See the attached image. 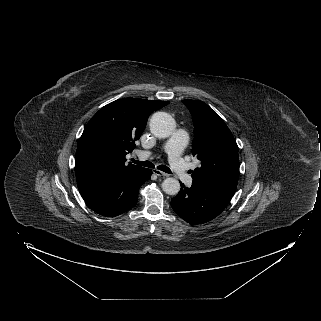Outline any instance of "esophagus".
Masks as SVG:
<instances>
[{
	"instance_id": "34e87169",
	"label": "esophagus",
	"mask_w": 321,
	"mask_h": 321,
	"mask_svg": "<svg viewBox=\"0 0 321 321\" xmlns=\"http://www.w3.org/2000/svg\"><path fill=\"white\" fill-rule=\"evenodd\" d=\"M153 174H155V175H157V176H164V177L168 176L167 173L162 172V171H160V170H158V169H153Z\"/></svg>"
}]
</instances>
